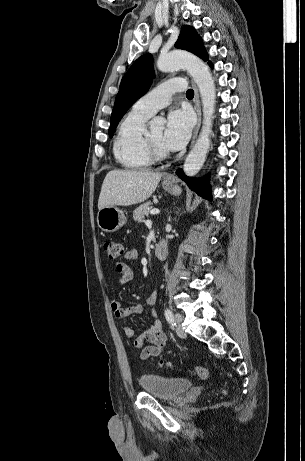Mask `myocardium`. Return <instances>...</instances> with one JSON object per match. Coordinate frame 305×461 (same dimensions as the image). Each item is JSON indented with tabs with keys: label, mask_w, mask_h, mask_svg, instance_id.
Here are the masks:
<instances>
[{
	"label": "myocardium",
	"mask_w": 305,
	"mask_h": 461,
	"mask_svg": "<svg viewBox=\"0 0 305 461\" xmlns=\"http://www.w3.org/2000/svg\"><path fill=\"white\" fill-rule=\"evenodd\" d=\"M145 147L146 150L153 161H161L166 159L169 156V153L166 149L158 147L151 139L149 132L145 133Z\"/></svg>",
	"instance_id": "f54148a6"
}]
</instances>
